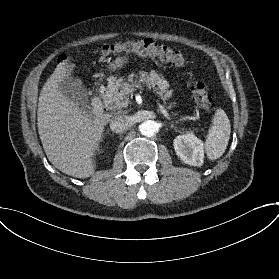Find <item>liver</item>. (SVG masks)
I'll return each instance as SVG.
<instances>
[{
	"label": "liver",
	"mask_w": 279,
	"mask_h": 279,
	"mask_svg": "<svg viewBox=\"0 0 279 279\" xmlns=\"http://www.w3.org/2000/svg\"><path fill=\"white\" fill-rule=\"evenodd\" d=\"M70 57L57 64L47 79L38 102L39 137L51 164L62 173L86 179L95 173L93 157L103 141L104 128L113 115L94 119L61 92V83L71 79Z\"/></svg>",
	"instance_id": "1"
}]
</instances>
